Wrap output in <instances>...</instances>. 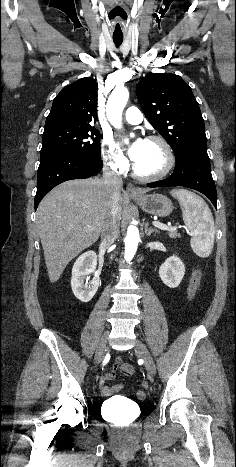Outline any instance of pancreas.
Segmentation results:
<instances>
[{
  "mask_svg": "<svg viewBox=\"0 0 236 467\" xmlns=\"http://www.w3.org/2000/svg\"><path fill=\"white\" fill-rule=\"evenodd\" d=\"M168 235L170 238H176L179 236L176 231H170Z\"/></svg>",
  "mask_w": 236,
  "mask_h": 467,
  "instance_id": "cf45deb5",
  "label": "pancreas"
}]
</instances>
